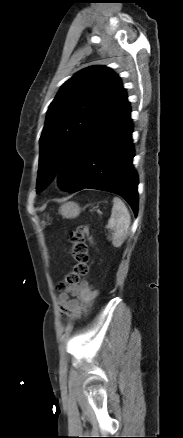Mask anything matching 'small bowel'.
Here are the masks:
<instances>
[{
    "label": "small bowel",
    "instance_id": "obj_1",
    "mask_svg": "<svg viewBox=\"0 0 183 438\" xmlns=\"http://www.w3.org/2000/svg\"><path fill=\"white\" fill-rule=\"evenodd\" d=\"M98 296L87 281L69 286L59 296V306L62 314L68 319L80 318L82 314H88Z\"/></svg>",
    "mask_w": 183,
    "mask_h": 438
}]
</instances>
